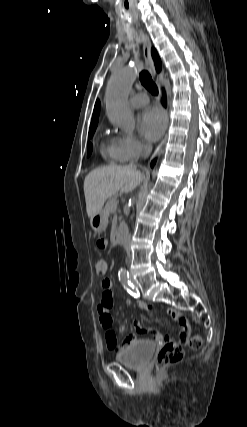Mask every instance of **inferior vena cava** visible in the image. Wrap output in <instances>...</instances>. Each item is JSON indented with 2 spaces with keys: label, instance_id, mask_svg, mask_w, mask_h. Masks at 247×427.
I'll return each instance as SVG.
<instances>
[{
  "label": "inferior vena cava",
  "instance_id": "obj_1",
  "mask_svg": "<svg viewBox=\"0 0 247 427\" xmlns=\"http://www.w3.org/2000/svg\"><path fill=\"white\" fill-rule=\"evenodd\" d=\"M152 151V145L150 143L143 145V158H147ZM125 250L127 253L128 261H130L131 258V249H130V235L127 236L125 241Z\"/></svg>",
  "mask_w": 247,
  "mask_h": 427
}]
</instances>
